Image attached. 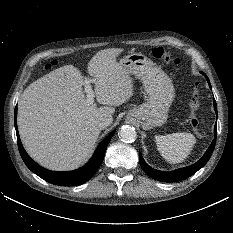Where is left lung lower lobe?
Returning <instances> with one entry per match:
<instances>
[{
	"instance_id": "0a47b994",
	"label": "left lung lower lobe",
	"mask_w": 233,
	"mask_h": 233,
	"mask_svg": "<svg viewBox=\"0 0 233 233\" xmlns=\"http://www.w3.org/2000/svg\"><path fill=\"white\" fill-rule=\"evenodd\" d=\"M202 74H204V73H202ZM206 79H207L208 84L211 88L208 77H206ZM213 102H214V109L217 113V106H216L215 99H213ZM216 136H217V128L215 126L214 140H213L212 144L210 145V147L205 152L204 156L199 161H197L196 163H194L193 165H190L188 167L177 169V170L172 171V172L158 171V170H155V169L151 168L150 166H148L145 163L144 159L142 158L141 153L139 152L140 165L143 168V170L146 172V174H148L150 177H152L156 180L163 181V182H177V181L184 180V179L190 177L191 175H193L194 173H196L200 168H202L208 162L209 158L211 157V155L213 153L214 147H215Z\"/></svg>"
}]
</instances>
